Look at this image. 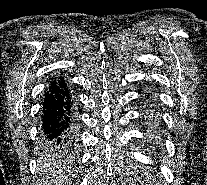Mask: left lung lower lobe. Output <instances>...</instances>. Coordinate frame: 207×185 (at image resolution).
Listing matches in <instances>:
<instances>
[{
  "label": "left lung lower lobe",
  "instance_id": "obj_1",
  "mask_svg": "<svg viewBox=\"0 0 207 185\" xmlns=\"http://www.w3.org/2000/svg\"><path fill=\"white\" fill-rule=\"evenodd\" d=\"M149 116H150L149 122L154 123V117H152V115H149Z\"/></svg>",
  "mask_w": 207,
  "mask_h": 185
}]
</instances>
